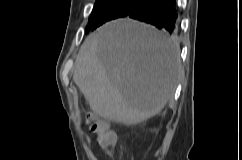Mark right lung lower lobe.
Wrapping results in <instances>:
<instances>
[{"instance_id": "obj_1", "label": "right lung lower lobe", "mask_w": 242, "mask_h": 160, "mask_svg": "<svg viewBox=\"0 0 242 160\" xmlns=\"http://www.w3.org/2000/svg\"><path fill=\"white\" fill-rule=\"evenodd\" d=\"M125 17L154 25L170 34H175L178 30L175 0H146Z\"/></svg>"}]
</instances>
